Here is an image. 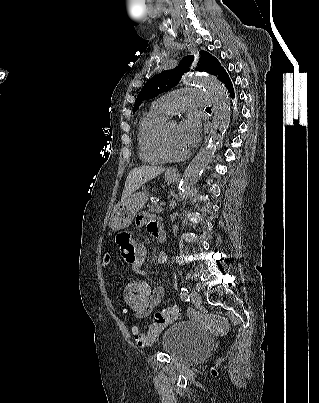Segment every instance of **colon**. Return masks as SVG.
Listing matches in <instances>:
<instances>
[{"label":"colon","instance_id":"colon-1","mask_svg":"<svg viewBox=\"0 0 319 403\" xmlns=\"http://www.w3.org/2000/svg\"><path fill=\"white\" fill-rule=\"evenodd\" d=\"M121 252V250H120ZM140 275H131L128 287H124V303H129L130 308H119V317H126L130 340L137 345L147 347L161 334V332L181 316V310L176 307H166L154 314L153 322L146 333L139 331V323L131 320L132 313H148L150 300L152 299L151 282Z\"/></svg>","mask_w":319,"mask_h":403}]
</instances>
